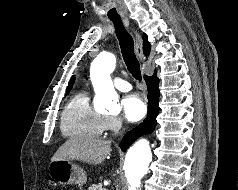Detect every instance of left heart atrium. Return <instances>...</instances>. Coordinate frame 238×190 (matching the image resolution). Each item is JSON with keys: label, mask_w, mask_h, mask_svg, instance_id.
<instances>
[{"label": "left heart atrium", "mask_w": 238, "mask_h": 190, "mask_svg": "<svg viewBox=\"0 0 238 190\" xmlns=\"http://www.w3.org/2000/svg\"><path fill=\"white\" fill-rule=\"evenodd\" d=\"M121 105L124 117L130 122L139 121L146 114V105L137 94L125 96Z\"/></svg>", "instance_id": "left-heart-atrium-1"}]
</instances>
